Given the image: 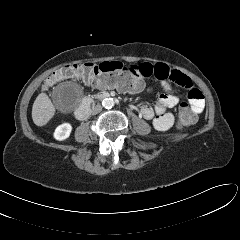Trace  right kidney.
<instances>
[{
    "mask_svg": "<svg viewBox=\"0 0 240 240\" xmlns=\"http://www.w3.org/2000/svg\"><path fill=\"white\" fill-rule=\"evenodd\" d=\"M71 131V124L63 123L55 129L54 138L59 141L65 140L70 136Z\"/></svg>",
    "mask_w": 240,
    "mask_h": 240,
    "instance_id": "ca27d5eb",
    "label": "right kidney"
}]
</instances>
